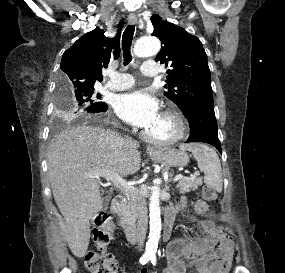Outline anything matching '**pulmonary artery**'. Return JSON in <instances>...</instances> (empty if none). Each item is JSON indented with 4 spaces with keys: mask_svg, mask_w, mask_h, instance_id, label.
Instances as JSON below:
<instances>
[{
    "mask_svg": "<svg viewBox=\"0 0 285 273\" xmlns=\"http://www.w3.org/2000/svg\"><path fill=\"white\" fill-rule=\"evenodd\" d=\"M141 73L145 76L155 77L159 74V69L155 61H146L141 66ZM107 75L109 81L105 84V88L119 91L125 90L134 85V78L129 73H121L115 70H109Z\"/></svg>",
    "mask_w": 285,
    "mask_h": 273,
    "instance_id": "pulmonary-artery-1",
    "label": "pulmonary artery"
}]
</instances>
